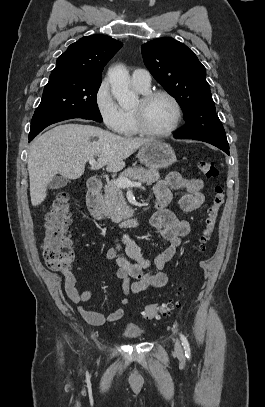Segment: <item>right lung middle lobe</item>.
<instances>
[{
  "label": "right lung middle lobe",
  "instance_id": "1",
  "mask_svg": "<svg viewBox=\"0 0 265 407\" xmlns=\"http://www.w3.org/2000/svg\"><path fill=\"white\" fill-rule=\"evenodd\" d=\"M101 80H91L66 74L51 76L36 109L29 137H35L47 126L71 118L102 122L96 102Z\"/></svg>",
  "mask_w": 265,
  "mask_h": 407
}]
</instances>
